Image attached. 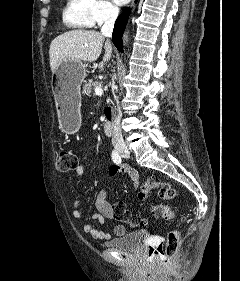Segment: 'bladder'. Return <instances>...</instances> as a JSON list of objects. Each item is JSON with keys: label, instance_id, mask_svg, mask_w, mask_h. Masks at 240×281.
Returning a JSON list of instances; mask_svg holds the SVG:
<instances>
[{"label": "bladder", "instance_id": "1", "mask_svg": "<svg viewBox=\"0 0 240 281\" xmlns=\"http://www.w3.org/2000/svg\"><path fill=\"white\" fill-rule=\"evenodd\" d=\"M146 233L133 231L120 237L113 238L105 243L106 246L126 252H139L142 249Z\"/></svg>", "mask_w": 240, "mask_h": 281}]
</instances>
